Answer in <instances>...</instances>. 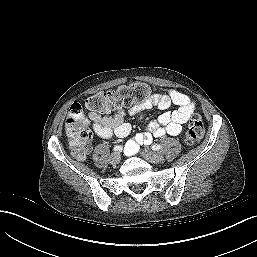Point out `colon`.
Returning a JSON list of instances; mask_svg holds the SVG:
<instances>
[{
    "label": "colon",
    "instance_id": "obj_1",
    "mask_svg": "<svg viewBox=\"0 0 257 257\" xmlns=\"http://www.w3.org/2000/svg\"><path fill=\"white\" fill-rule=\"evenodd\" d=\"M149 87L144 83H133L122 86L113 91L99 92L85 101V106L94 112L108 113L112 110L129 107L149 96ZM65 131L72 154L83 159L88 153L89 143L92 138L90 129L82 115V104L73 103L70 106ZM204 127L202 118L198 114L191 116L188 129L185 134V142L188 146L196 145L202 138Z\"/></svg>",
    "mask_w": 257,
    "mask_h": 257
}]
</instances>
